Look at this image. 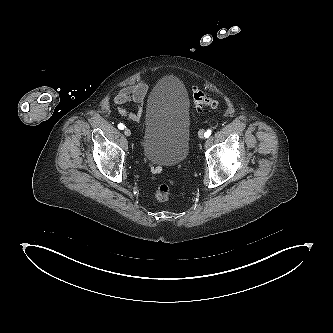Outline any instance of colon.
I'll use <instances>...</instances> for the list:
<instances>
[{"label": "colon", "mask_w": 333, "mask_h": 333, "mask_svg": "<svg viewBox=\"0 0 333 333\" xmlns=\"http://www.w3.org/2000/svg\"><path fill=\"white\" fill-rule=\"evenodd\" d=\"M193 101L197 109L209 108L217 110L219 108V102L215 98L199 89L194 90ZM150 172L153 176H156L161 173V168L157 166H151ZM171 196V182L167 181L161 183L157 188L156 198L161 202H165L168 201Z\"/></svg>", "instance_id": "1"}]
</instances>
